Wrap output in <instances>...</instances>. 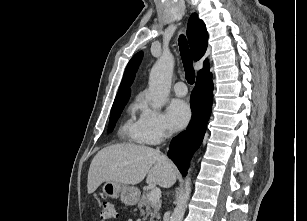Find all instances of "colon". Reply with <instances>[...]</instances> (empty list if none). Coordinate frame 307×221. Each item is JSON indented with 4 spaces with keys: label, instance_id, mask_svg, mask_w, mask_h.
I'll return each instance as SVG.
<instances>
[{
    "label": "colon",
    "instance_id": "colon-1",
    "mask_svg": "<svg viewBox=\"0 0 307 221\" xmlns=\"http://www.w3.org/2000/svg\"><path fill=\"white\" fill-rule=\"evenodd\" d=\"M116 217L115 206L112 201H103L100 210L101 221L112 220Z\"/></svg>",
    "mask_w": 307,
    "mask_h": 221
}]
</instances>
